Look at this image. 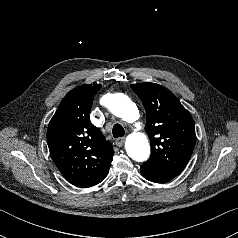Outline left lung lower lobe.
I'll return each mask as SVG.
<instances>
[{
	"label": "left lung lower lobe",
	"mask_w": 238,
	"mask_h": 238,
	"mask_svg": "<svg viewBox=\"0 0 238 238\" xmlns=\"http://www.w3.org/2000/svg\"><path fill=\"white\" fill-rule=\"evenodd\" d=\"M140 170L145 179L155 183H166L181 173L158 168L146 162L143 163Z\"/></svg>",
	"instance_id": "0a47b994"
}]
</instances>
